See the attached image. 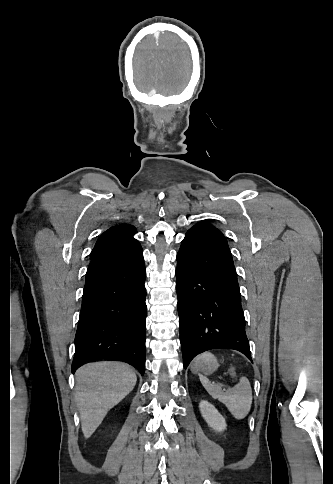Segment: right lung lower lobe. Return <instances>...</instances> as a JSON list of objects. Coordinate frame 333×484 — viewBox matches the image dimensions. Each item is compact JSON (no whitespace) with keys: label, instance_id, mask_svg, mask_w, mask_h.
Instances as JSON below:
<instances>
[{"label":"right lung lower lobe","instance_id":"1","mask_svg":"<svg viewBox=\"0 0 333 484\" xmlns=\"http://www.w3.org/2000/svg\"><path fill=\"white\" fill-rule=\"evenodd\" d=\"M146 270L141 246L92 257L75 336L72 372L83 363L125 361L145 368Z\"/></svg>","mask_w":333,"mask_h":484}]
</instances>
